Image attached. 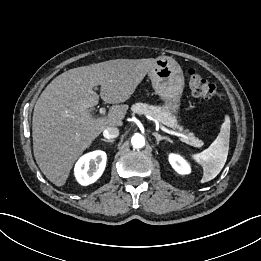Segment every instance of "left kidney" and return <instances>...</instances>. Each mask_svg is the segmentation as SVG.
Instances as JSON below:
<instances>
[{
    "mask_svg": "<svg viewBox=\"0 0 261 261\" xmlns=\"http://www.w3.org/2000/svg\"><path fill=\"white\" fill-rule=\"evenodd\" d=\"M169 162L171 166L174 168V170L179 174H189L191 171L189 164L179 155L170 154Z\"/></svg>",
    "mask_w": 261,
    "mask_h": 261,
    "instance_id": "1",
    "label": "left kidney"
}]
</instances>
